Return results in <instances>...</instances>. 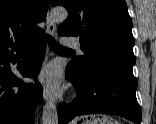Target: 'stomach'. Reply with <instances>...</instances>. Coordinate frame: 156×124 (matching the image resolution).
Instances as JSON below:
<instances>
[{
  "label": "stomach",
  "instance_id": "0dacf381",
  "mask_svg": "<svg viewBox=\"0 0 156 124\" xmlns=\"http://www.w3.org/2000/svg\"><path fill=\"white\" fill-rule=\"evenodd\" d=\"M115 124L113 121L108 120L107 117H103L102 119H92V120H82V119H75L71 122V124Z\"/></svg>",
  "mask_w": 156,
  "mask_h": 124
}]
</instances>
